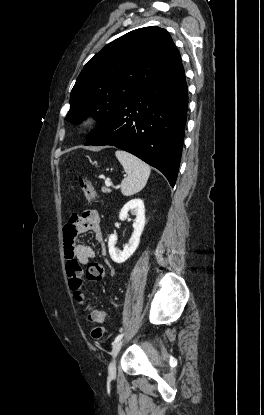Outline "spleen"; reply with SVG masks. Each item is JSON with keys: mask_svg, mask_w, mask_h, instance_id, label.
Returning <instances> with one entry per match:
<instances>
[{"mask_svg": "<svg viewBox=\"0 0 264 415\" xmlns=\"http://www.w3.org/2000/svg\"><path fill=\"white\" fill-rule=\"evenodd\" d=\"M115 155L127 173L121 182L122 194L124 196L136 194L145 187L151 172L150 166L126 151L117 150Z\"/></svg>", "mask_w": 264, "mask_h": 415, "instance_id": "1", "label": "spleen"}]
</instances>
